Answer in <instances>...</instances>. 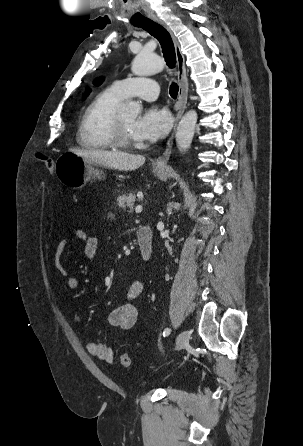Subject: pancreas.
<instances>
[{"instance_id":"pancreas-1","label":"pancreas","mask_w":303,"mask_h":446,"mask_svg":"<svg viewBox=\"0 0 303 446\" xmlns=\"http://www.w3.org/2000/svg\"><path fill=\"white\" fill-rule=\"evenodd\" d=\"M135 201H136V196L134 193L123 194L117 198L119 207H121L124 210L130 209V212L133 211Z\"/></svg>"}]
</instances>
